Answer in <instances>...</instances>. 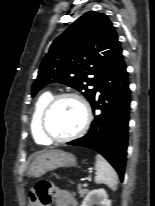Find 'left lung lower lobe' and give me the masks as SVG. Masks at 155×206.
Segmentation results:
<instances>
[{"instance_id":"left-lung-lower-lobe-1","label":"left lung lower lobe","mask_w":155,"mask_h":206,"mask_svg":"<svg viewBox=\"0 0 155 206\" xmlns=\"http://www.w3.org/2000/svg\"><path fill=\"white\" fill-rule=\"evenodd\" d=\"M91 100L92 108L100 112L94 115L88 133L68 145L83 146L103 155L124 179L128 145L130 89L123 55L105 74Z\"/></svg>"}]
</instances>
